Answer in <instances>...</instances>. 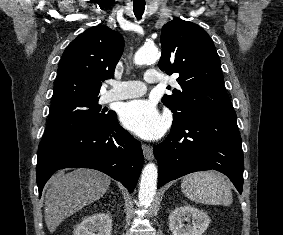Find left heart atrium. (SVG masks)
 I'll use <instances>...</instances> for the list:
<instances>
[{
	"instance_id": "1",
	"label": "left heart atrium",
	"mask_w": 283,
	"mask_h": 235,
	"mask_svg": "<svg viewBox=\"0 0 283 235\" xmlns=\"http://www.w3.org/2000/svg\"><path fill=\"white\" fill-rule=\"evenodd\" d=\"M120 120L125 128L147 140L159 138L167 127L165 117L148 100H134L124 104L120 110Z\"/></svg>"
}]
</instances>
